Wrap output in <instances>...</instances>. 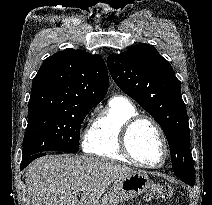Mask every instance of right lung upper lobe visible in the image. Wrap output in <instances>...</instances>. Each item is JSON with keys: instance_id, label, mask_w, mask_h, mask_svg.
Segmentation results:
<instances>
[{"instance_id": "1", "label": "right lung upper lobe", "mask_w": 212, "mask_h": 205, "mask_svg": "<svg viewBox=\"0 0 212 205\" xmlns=\"http://www.w3.org/2000/svg\"><path fill=\"white\" fill-rule=\"evenodd\" d=\"M108 90L103 58L65 49L46 58L32 82L28 106L97 105Z\"/></svg>"}]
</instances>
